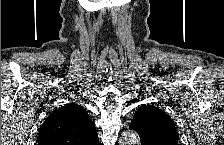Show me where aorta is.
Wrapping results in <instances>:
<instances>
[{
	"label": "aorta",
	"mask_w": 224,
	"mask_h": 145,
	"mask_svg": "<svg viewBox=\"0 0 224 145\" xmlns=\"http://www.w3.org/2000/svg\"><path fill=\"white\" fill-rule=\"evenodd\" d=\"M140 140L134 131H125L121 134V137L119 139V145H139Z\"/></svg>",
	"instance_id": "aorta-1"
}]
</instances>
